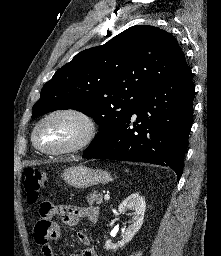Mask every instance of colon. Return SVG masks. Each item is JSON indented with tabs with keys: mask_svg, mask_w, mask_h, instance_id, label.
<instances>
[{
	"mask_svg": "<svg viewBox=\"0 0 221 256\" xmlns=\"http://www.w3.org/2000/svg\"><path fill=\"white\" fill-rule=\"evenodd\" d=\"M47 185L48 176L45 172L37 168H27L25 170L24 187L30 203L37 201L40 192L47 187Z\"/></svg>",
	"mask_w": 221,
	"mask_h": 256,
	"instance_id": "5ec220e1",
	"label": "colon"
}]
</instances>
